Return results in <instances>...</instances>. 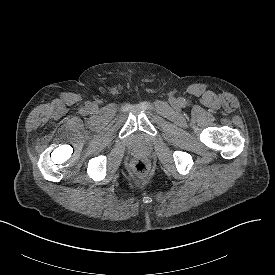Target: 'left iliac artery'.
I'll return each mask as SVG.
<instances>
[{
  "instance_id": "44dca946",
  "label": "left iliac artery",
  "mask_w": 275,
  "mask_h": 275,
  "mask_svg": "<svg viewBox=\"0 0 275 275\" xmlns=\"http://www.w3.org/2000/svg\"><path fill=\"white\" fill-rule=\"evenodd\" d=\"M181 104H182V105H184V104H185V103H184V100H182V101H181Z\"/></svg>"
}]
</instances>
